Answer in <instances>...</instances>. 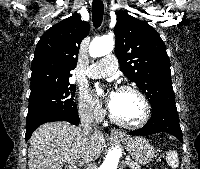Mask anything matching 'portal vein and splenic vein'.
I'll return each mask as SVG.
<instances>
[{"instance_id": "obj_1", "label": "portal vein and splenic vein", "mask_w": 200, "mask_h": 169, "mask_svg": "<svg viewBox=\"0 0 200 169\" xmlns=\"http://www.w3.org/2000/svg\"><path fill=\"white\" fill-rule=\"evenodd\" d=\"M129 162H130L129 159H127V160L125 161L126 164H129ZM70 163H74V162L71 161Z\"/></svg>"}]
</instances>
